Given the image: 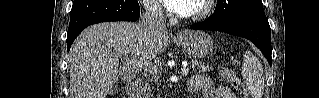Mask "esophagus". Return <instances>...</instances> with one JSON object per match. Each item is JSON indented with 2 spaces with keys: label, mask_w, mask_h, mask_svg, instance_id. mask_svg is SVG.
<instances>
[{
  "label": "esophagus",
  "mask_w": 319,
  "mask_h": 98,
  "mask_svg": "<svg viewBox=\"0 0 319 98\" xmlns=\"http://www.w3.org/2000/svg\"><path fill=\"white\" fill-rule=\"evenodd\" d=\"M181 36H182V34H181V33H178V34H177V37H181Z\"/></svg>",
  "instance_id": "esophagus-1"
}]
</instances>
